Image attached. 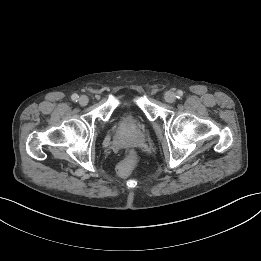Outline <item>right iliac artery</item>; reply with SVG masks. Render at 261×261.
<instances>
[{
	"label": "right iliac artery",
	"mask_w": 261,
	"mask_h": 261,
	"mask_svg": "<svg viewBox=\"0 0 261 261\" xmlns=\"http://www.w3.org/2000/svg\"><path fill=\"white\" fill-rule=\"evenodd\" d=\"M71 98H72L73 101L77 102L78 99H79V96H78L77 94H73V95L71 96Z\"/></svg>",
	"instance_id": "obj_1"
}]
</instances>
